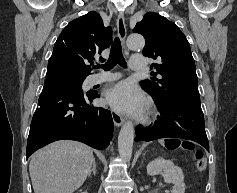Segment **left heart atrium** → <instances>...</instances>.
<instances>
[{
	"instance_id": "39dd6f15",
	"label": "left heart atrium",
	"mask_w": 237,
	"mask_h": 193,
	"mask_svg": "<svg viewBox=\"0 0 237 193\" xmlns=\"http://www.w3.org/2000/svg\"><path fill=\"white\" fill-rule=\"evenodd\" d=\"M105 101L117 111L139 115L147 102L137 87L130 82H121L106 92Z\"/></svg>"
}]
</instances>
